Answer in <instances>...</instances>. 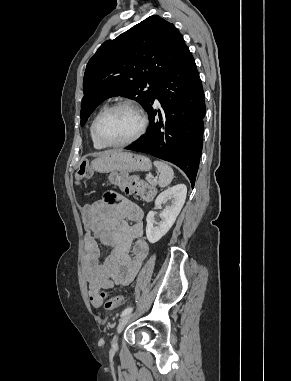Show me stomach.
Here are the masks:
<instances>
[{"label":"stomach","mask_w":291,"mask_h":381,"mask_svg":"<svg viewBox=\"0 0 291 381\" xmlns=\"http://www.w3.org/2000/svg\"><path fill=\"white\" fill-rule=\"evenodd\" d=\"M90 167L93 171L99 173H109L113 171L132 172L149 171L152 168V164L150 159L146 156L130 152L115 151L100 155L91 162Z\"/></svg>","instance_id":"obj_1"}]
</instances>
